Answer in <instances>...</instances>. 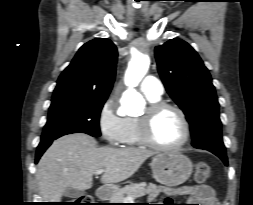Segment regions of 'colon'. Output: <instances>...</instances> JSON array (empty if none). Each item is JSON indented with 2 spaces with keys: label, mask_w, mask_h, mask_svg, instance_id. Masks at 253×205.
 I'll return each instance as SVG.
<instances>
[{
  "label": "colon",
  "mask_w": 253,
  "mask_h": 205,
  "mask_svg": "<svg viewBox=\"0 0 253 205\" xmlns=\"http://www.w3.org/2000/svg\"><path fill=\"white\" fill-rule=\"evenodd\" d=\"M213 176V172L209 164L206 162H198L196 165L195 179L198 183H205ZM92 199L88 195H83L74 200L72 205H91Z\"/></svg>",
  "instance_id": "colon-1"
}]
</instances>
